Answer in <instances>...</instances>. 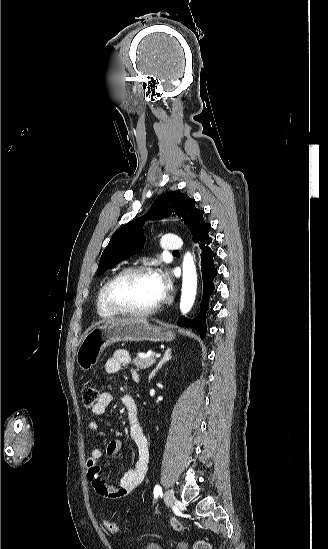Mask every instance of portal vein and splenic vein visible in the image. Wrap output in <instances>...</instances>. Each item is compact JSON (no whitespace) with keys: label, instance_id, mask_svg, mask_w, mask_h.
Masks as SVG:
<instances>
[{"label":"portal vein and splenic vein","instance_id":"obj_1","mask_svg":"<svg viewBox=\"0 0 328 549\" xmlns=\"http://www.w3.org/2000/svg\"><path fill=\"white\" fill-rule=\"evenodd\" d=\"M159 356H160V353H156L155 356H154V359H159ZM149 357V355H148Z\"/></svg>","mask_w":328,"mask_h":549}]
</instances>
